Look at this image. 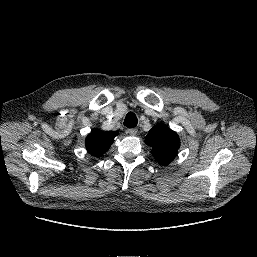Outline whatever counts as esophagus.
<instances>
[{"label":"esophagus","instance_id":"obj_1","mask_svg":"<svg viewBox=\"0 0 257 257\" xmlns=\"http://www.w3.org/2000/svg\"><path fill=\"white\" fill-rule=\"evenodd\" d=\"M127 132L131 135V136H135L138 132V130L136 128H130L127 130Z\"/></svg>","mask_w":257,"mask_h":257}]
</instances>
